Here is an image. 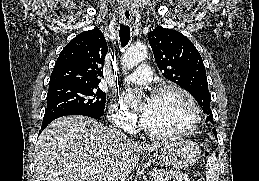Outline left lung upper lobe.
<instances>
[{
    "instance_id": "1",
    "label": "left lung upper lobe",
    "mask_w": 259,
    "mask_h": 181,
    "mask_svg": "<svg viewBox=\"0 0 259 181\" xmlns=\"http://www.w3.org/2000/svg\"><path fill=\"white\" fill-rule=\"evenodd\" d=\"M149 44L163 76L187 90L213 123L205 66L194 44L180 32L156 27L149 33ZM217 135L216 129H212Z\"/></svg>"
}]
</instances>
